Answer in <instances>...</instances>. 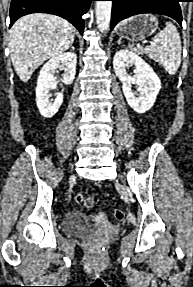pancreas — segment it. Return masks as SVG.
<instances>
[{
	"mask_svg": "<svg viewBox=\"0 0 193 287\" xmlns=\"http://www.w3.org/2000/svg\"><path fill=\"white\" fill-rule=\"evenodd\" d=\"M135 51L140 53V54L143 53L142 49H135Z\"/></svg>",
	"mask_w": 193,
	"mask_h": 287,
	"instance_id": "pancreas-1",
	"label": "pancreas"
}]
</instances>
